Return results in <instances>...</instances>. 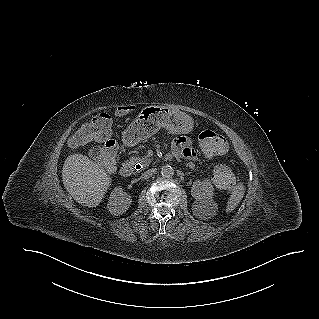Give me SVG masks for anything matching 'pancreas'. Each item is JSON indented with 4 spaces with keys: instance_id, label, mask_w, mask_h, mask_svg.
Returning <instances> with one entry per match:
<instances>
[{
    "instance_id": "obj_1",
    "label": "pancreas",
    "mask_w": 319,
    "mask_h": 319,
    "mask_svg": "<svg viewBox=\"0 0 319 319\" xmlns=\"http://www.w3.org/2000/svg\"><path fill=\"white\" fill-rule=\"evenodd\" d=\"M132 160L135 163H139L143 168L148 167L150 162H151V159L148 158L147 156H144V157H133ZM185 166L189 167L192 170H197L199 168V167H196L193 162L185 163Z\"/></svg>"
}]
</instances>
